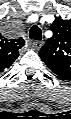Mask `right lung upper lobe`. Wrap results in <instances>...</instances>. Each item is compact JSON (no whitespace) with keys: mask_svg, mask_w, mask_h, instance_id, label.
I'll use <instances>...</instances> for the list:
<instances>
[{"mask_svg":"<svg viewBox=\"0 0 71 119\" xmlns=\"http://www.w3.org/2000/svg\"><path fill=\"white\" fill-rule=\"evenodd\" d=\"M23 38L15 40L0 39V72L9 68L19 56V49L24 46Z\"/></svg>","mask_w":71,"mask_h":119,"instance_id":"cb5924a9","label":"right lung upper lobe"}]
</instances>
